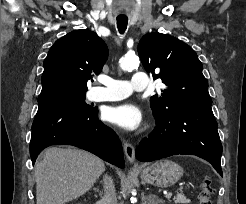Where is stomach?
I'll return each mask as SVG.
<instances>
[{"label": "stomach", "mask_w": 246, "mask_h": 204, "mask_svg": "<svg viewBox=\"0 0 246 204\" xmlns=\"http://www.w3.org/2000/svg\"><path fill=\"white\" fill-rule=\"evenodd\" d=\"M183 170L180 165L171 160H160L141 172L142 180L157 187H169L177 183Z\"/></svg>", "instance_id": "obj_1"}]
</instances>
